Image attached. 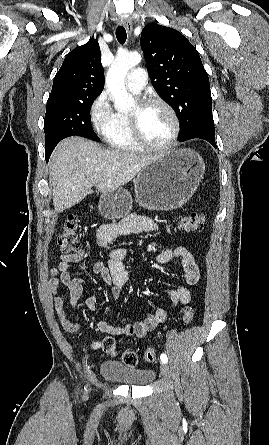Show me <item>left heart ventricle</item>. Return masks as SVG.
Returning <instances> with one entry per match:
<instances>
[{
    "mask_svg": "<svg viewBox=\"0 0 269 445\" xmlns=\"http://www.w3.org/2000/svg\"><path fill=\"white\" fill-rule=\"evenodd\" d=\"M140 125L145 139L154 145L163 144L173 131L170 115L159 105L149 106L142 112Z\"/></svg>",
    "mask_w": 269,
    "mask_h": 445,
    "instance_id": "b2bd125f",
    "label": "left heart ventricle"
}]
</instances>
